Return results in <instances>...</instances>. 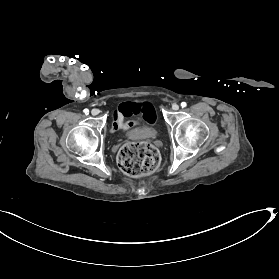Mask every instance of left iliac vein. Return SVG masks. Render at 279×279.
Returning <instances> with one entry per match:
<instances>
[{
  "mask_svg": "<svg viewBox=\"0 0 279 279\" xmlns=\"http://www.w3.org/2000/svg\"><path fill=\"white\" fill-rule=\"evenodd\" d=\"M172 109H173L174 111H177V110L179 109V105L173 104V105H172Z\"/></svg>",
  "mask_w": 279,
  "mask_h": 279,
  "instance_id": "1",
  "label": "left iliac vein"
}]
</instances>
